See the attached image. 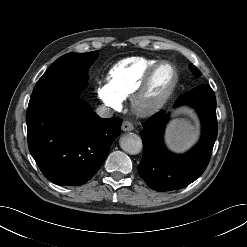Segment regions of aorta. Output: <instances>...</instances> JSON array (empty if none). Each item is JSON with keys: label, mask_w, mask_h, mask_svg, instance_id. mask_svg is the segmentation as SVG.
I'll return each instance as SVG.
<instances>
[{"label": "aorta", "mask_w": 247, "mask_h": 247, "mask_svg": "<svg viewBox=\"0 0 247 247\" xmlns=\"http://www.w3.org/2000/svg\"><path fill=\"white\" fill-rule=\"evenodd\" d=\"M120 147L123 151L135 155L142 150V140L135 133H129L120 138Z\"/></svg>", "instance_id": "1"}]
</instances>
